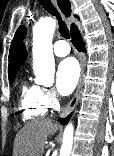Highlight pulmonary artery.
Returning <instances> with one entry per match:
<instances>
[{"mask_svg": "<svg viewBox=\"0 0 114 156\" xmlns=\"http://www.w3.org/2000/svg\"><path fill=\"white\" fill-rule=\"evenodd\" d=\"M54 54L58 57L67 56L70 53V46L64 40H58L53 47Z\"/></svg>", "mask_w": 114, "mask_h": 156, "instance_id": "e3ab8cb5", "label": "pulmonary artery"}]
</instances>
